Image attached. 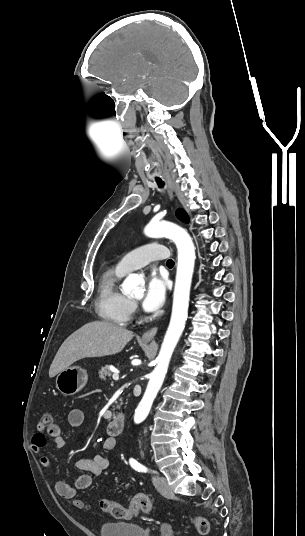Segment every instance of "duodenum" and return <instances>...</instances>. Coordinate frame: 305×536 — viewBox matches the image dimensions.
<instances>
[{"label": "duodenum", "instance_id": "obj_1", "mask_svg": "<svg viewBox=\"0 0 305 536\" xmlns=\"http://www.w3.org/2000/svg\"><path fill=\"white\" fill-rule=\"evenodd\" d=\"M126 426V418L122 414H117L112 418L106 427V430L110 436L121 434Z\"/></svg>", "mask_w": 305, "mask_h": 536}]
</instances>
